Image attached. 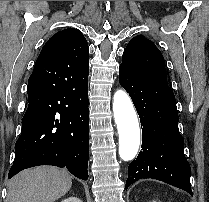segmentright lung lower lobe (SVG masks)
<instances>
[{
	"label": "right lung lower lobe",
	"instance_id": "right-lung-lower-lobe-1",
	"mask_svg": "<svg viewBox=\"0 0 209 202\" xmlns=\"http://www.w3.org/2000/svg\"><path fill=\"white\" fill-rule=\"evenodd\" d=\"M27 92L28 107L8 178L25 168L54 165L87 180L88 81L76 84L56 73L53 61L37 60Z\"/></svg>",
	"mask_w": 209,
	"mask_h": 202
}]
</instances>
